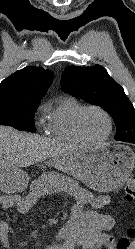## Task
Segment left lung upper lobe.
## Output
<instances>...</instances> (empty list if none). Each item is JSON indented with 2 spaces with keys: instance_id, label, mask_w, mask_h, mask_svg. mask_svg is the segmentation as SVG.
I'll use <instances>...</instances> for the list:
<instances>
[{
  "instance_id": "1",
  "label": "left lung upper lobe",
  "mask_w": 135,
  "mask_h": 249,
  "mask_svg": "<svg viewBox=\"0 0 135 249\" xmlns=\"http://www.w3.org/2000/svg\"><path fill=\"white\" fill-rule=\"evenodd\" d=\"M62 90L90 104L98 105L114 119L115 140H135V109L123 87L110 77L101 65L69 66L62 73Z\"/></svg>"
}]
</instances>
